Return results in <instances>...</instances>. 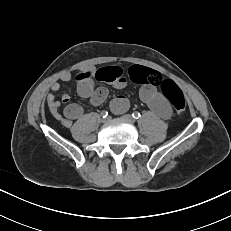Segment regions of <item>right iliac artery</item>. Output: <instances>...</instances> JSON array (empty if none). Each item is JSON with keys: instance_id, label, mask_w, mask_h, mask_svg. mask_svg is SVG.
Wrapping results in <instances>:
<instances>
[{"instance_id": "right-iliac-artery-1", "label": "right iliac artery", "mask_w": 231, "mask_h": 231, "mask_svg": "<svg viewBox=\"0 0 231 231\" xmlns=\"http://www.w3.org/2000/svg\"><path fill=\"white\" fill-rule=\"evenodd\" d=\"M101 116L103 117V118H106L107 116H108V112L107 111H102L101 112Z\"/></svg>"}]
</instances>
